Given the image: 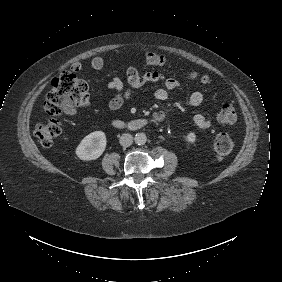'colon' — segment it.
<instances>
[{
    "label": "colon",
    "mask_w": 282,
    "mask_h": 282,
    "mask_svg": "<svg viewBox=\"0 0 282 282\" xmlns=\"http://www.w3.org/2000/svg\"><path fill=\"white\" fill-rule=\"evenodd\" d=\"M145 61L147 65L162 66L164 56L160 52H148L145 55ZM191 78H196V75H191ZM200 80L206 83L208 77L202 76ZM87 100L88 87L86 82L73 73L64 72L52 81L44 107L51 117H55L71 107L84 106ZM218 119L225 125H234L238 120V114L233 107L223 106L219 111ZM60 126V122L52 118L46 123L37 125L35 136L41 144L50 145L59 135ZM213 147L218 156L224 157L232 152L234 142L229 135L220 133L215 136Z\"/></svg>",
    "instance_id": "obj_1"
}]
</instances>
